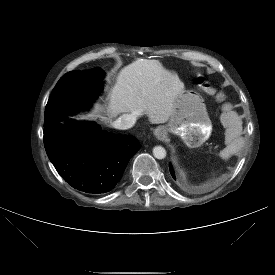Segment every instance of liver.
<instances>
[{
	"instance_id": "6515ba94",
	"label": "liver",
	"mask_w": 275,
	"mask_h": 275,
	"mask_svg": "<svg viewBox=\"0 0 275 275\" xmlns=\"http://www.w3.org/2000/svg\"><path fill=\"white\" fill-rule=\"evenodd\" d=\"M181 90L176 76L158 60L139 59L120 71L110 93L109 117L101 115L103 108L95 105L91 113L80 119L109 121L128 112L136 117L145 114L153 124L165 123L172 114L174 97Z\"/></svg>"
}]
</instances>
